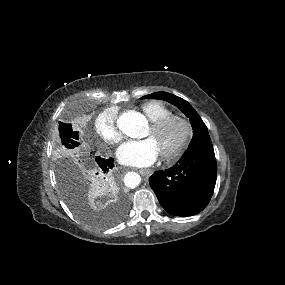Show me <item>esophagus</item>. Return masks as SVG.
<instances>
[{
  "label": "esophagus",
  "instance_id": "1",
  "mask_svg": "<svg viewBox=\"0 0 285 285\" xmlns=\"http://www.w3.org/2000/svg\"><path fill=\"white\" fill-rule=\"evenodd\" d=\"M139 172L147 178L153 174V171L151 169H141Z\"/></svg>",
  "mask_w": 285,
  "mask_h": 285
}]
</instances>
